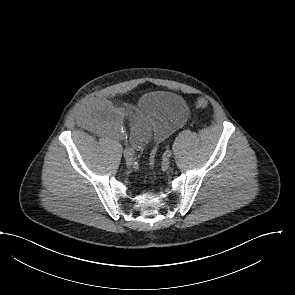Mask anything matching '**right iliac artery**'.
<instances>
[{
    "label": "right iliac artery",
    "mask_w": 295,
    "mask_h": 295,
    "mask_svg": "<svg viewBox=\"0 0 295 295\" xmlns=\"http://www.w3.org/2000/svg\"><path fill=\"white\" fill-rule=\"evenodd\" d=\"M124 152H128L129 154L133 155L134 150L131 147L127 146Z\"/></svg>",
    "instance_id": "right-iliac-artery-1"
}]
</instances>
